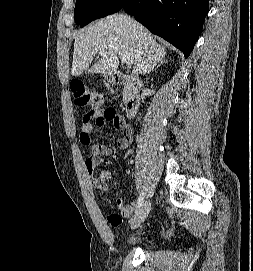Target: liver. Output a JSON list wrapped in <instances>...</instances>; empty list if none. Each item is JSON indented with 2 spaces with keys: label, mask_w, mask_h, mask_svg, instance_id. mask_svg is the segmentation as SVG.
Instances as JSON below:
<instances>
[{
  "label": "liver",
  "mask_w": 253,
  "mask_h": 271,
  "mask_svg": "<svg viewBox=\"0 0 253 271\" xmlns=\"http://www.w3.org/2000/svg\"><path fill=\"white\" fill-rule=\"evenodd\" d=\"M119 51L132 59V73L136 77L151 72L158 63L165 61L166 56L165 47L158 44L143 25L126 15L114 14L78 32L74 42L71 75L79 76L85 70L103 74L116 72L119 67L116 53ZM97 54L102 58L90 67Z\"/></svg>",
  "instance_id": "1"
}]
</instances>
